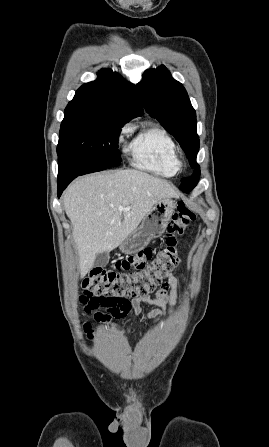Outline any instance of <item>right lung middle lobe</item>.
<instances>
[{"label": "right lung middle lobe", "mask_w": 269, "mask_h": 447, "mask_svg": "<svg viewBox=\"0 0 269 447\" xmlns=\"http://www.w3.org/2000/svg\"><path fill=\"white\" fill-rule=\"evenodd\" d=\"M126 122L88 117H64L57 146L58 161L93 167L119 166L118 137Z\"/></svg>", "instance_id": "right-lung-middle-lobe-1"}]
</instances>
